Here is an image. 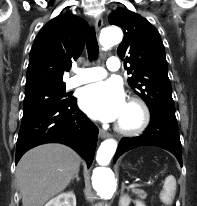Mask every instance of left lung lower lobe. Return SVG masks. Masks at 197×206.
Here are the masks:
<instances>
[{"label": "left lung lower lobe", "mask_w": 197, "mask_h": 206, "mask_svg": "<svg viewBox=\"0 0 197 206\" xmlns=\"http://www.w3.org/2000/svg\"><path fill=\"white\" fill-rule=\"evenodd\" d=\"M144 145L157 146L170 151L182 166L181 142L174 115L164 112L151 114V121L142 135L121 139L114 161L124 152Z\"/></svg>", "instance_id": "left-lung-lower-lobe-1"}]
</instances>
